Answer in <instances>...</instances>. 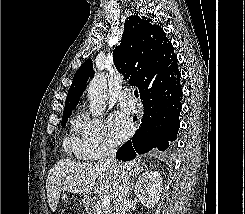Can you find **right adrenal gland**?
<instances>
[{
	"label": "right adrenal gland",
	"instance_id": "1",
	"mask_svg": "<svg viewBox=\"0 0 245 214\" xmlns=\"http://www.w3.org/2000/svg\"><path fill=\"white\" fill-rule=\"evenodd\" d=\"M141 171H142V169H139L138 172H137V174L132 178L130 191L133 190V188H134V180L137 177V175L141 173Z\"/></svg>",
	"mask_w": 245,
	"mask_h": 214
}]
</instances>
